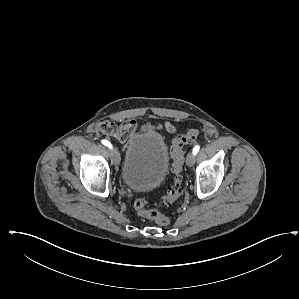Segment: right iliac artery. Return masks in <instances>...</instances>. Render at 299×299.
Listing matches in <instances>:
<instances>
[{"mask_svg": "<svg viewBox=\"0 0 299 299\" xmlns=\"http://www.w3.org/2000/svg\"><path fill=\"white\" fill-rule=\"evenodd\" d=\"M101 142H102L103 145H105L108 148L112 149V144L108 140L103 139Z\"/></svg>", "mask_w": 299, "mask_h": 299, "instance_id": "right-iliac-artery-1", "label": "right iliac artery"}]
</instances>
